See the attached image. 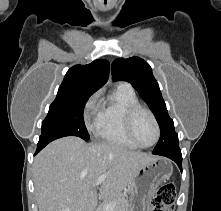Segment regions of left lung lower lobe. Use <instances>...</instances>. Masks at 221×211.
Segmentation results:
<instances>
[{
    "label": "left lung lower lobe",
    "instance_id": "left-lung-lower-lobe-1",
    "mask_svg": "<svg viewBox=\"0 0 221 211\" xmlns=\"http://www.w3.org/2000/svg\"><path fill=\"white\" fill-rule=\"evenodd\" d=\"M155 155H161V156L170 158L171 160L176 162V164L179 166L180 170L182 171V154H181L180 149L159 152V153H156Z\"/></svg>",
    "mask_w": 221,
    "mask_h": 211
}]
</instances>
